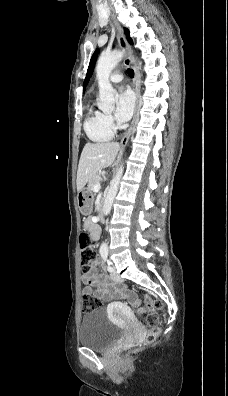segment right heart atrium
<instances>
[{
  "label": "right heart atrium",
  "mask_w": 228,
  "mask_h": 396,
  "mask_svg": "<svg viewBox=\"0 0 228 396\" xmlns=\"http://www.w3.org/2000/svg\"><path fill=\"white\" fill-rule=\"evenodd\" d=\"M105 121L107 125L110 126L111 128H114L116 125L113 117L109 114H105Z\"/></svg>",
  "instance_id": "d8ad5b80"
}]
</instances>
